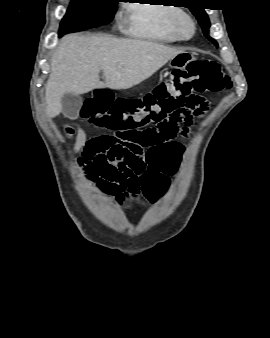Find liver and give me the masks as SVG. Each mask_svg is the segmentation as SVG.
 Listing matches in <instances>:
<instances>
[{"label":"liver","mask_w":270,"mask_h":338,"mask_svg":"<svg viewBox=\"0 0 270 338\" xmlns=\"http://www.w3.org/2000/svg\"><path fill=\"white\" fill-rule=\"evenodd\" d=\"M182 52L141 39L66 35L52 56L46 114L54 118L61 113V98L66 93L80 95L95 88L127 89L137 85ZM100 71L105 75L104 82L99 79Z\"/></svg>","instance_id":"1"}]
</instances>
